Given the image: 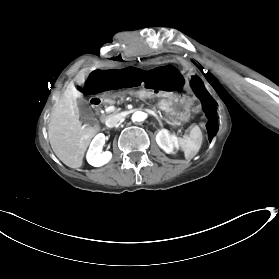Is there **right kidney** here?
Segmentation results:
<instances>
[{"mask_svg":"<svg viewBox=\"0 0 279 279\" xmlns=\"http://www.w3.org/2000/svg\"><path fill=\"white\" fill-rule=\"evenodd\" d=\"M105 144V135L98 134L90 144L88 153L86 155L87 162L95 167L103 166L107 164L111 158L112 153L110 151L102 152L103 145Z\"/></svg>","mask_w":279,"mask_h":279,"instance_id":"1","label":"right kidney"}]
</instances>
